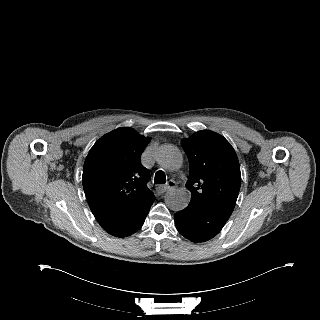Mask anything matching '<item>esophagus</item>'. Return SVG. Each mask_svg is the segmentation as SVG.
Masks as SVG:
<instances>
[{
    "label": "esophagus",
    "instance_id": "esophagus-1",
    "mask_svg": "<svg viewBox=\"0 0 320 320\" xmlns=\"http://www.w3.org/2000/svg\"><path fill=\"white\" fill-rule=\"evenodd\" d=\"M176 187V183L173 180H170L165 186L162 187V191L166 192L172 190Z\"/></svg>",
    "mask_w": 320,
    "mask_h": 320
}]
</instances>
